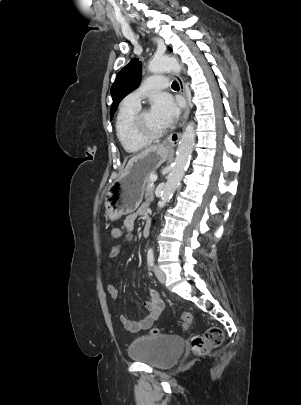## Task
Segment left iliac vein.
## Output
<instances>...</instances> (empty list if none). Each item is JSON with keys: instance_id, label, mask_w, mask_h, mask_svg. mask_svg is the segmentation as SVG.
<instances>
[{"instance_id": "obj_1", "label": "left iliac vein", "mask_w": 301, "mask_h": 405, "mask_svg": "<svg viewBox=\"0 0 301 405\" xmlns=\"http://www.w3.org/2000/svg\"><path fill=\"white\" fill-rule=\"evenodd\" d=\"M154 273L157 277V279L160 281V283L164 284L166 281V276L164 274V272L157 266H154Z\"/></svg>"}]
</instances>
